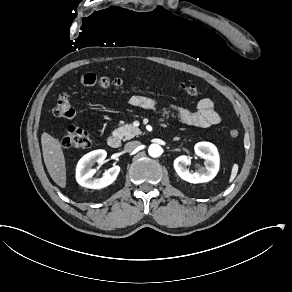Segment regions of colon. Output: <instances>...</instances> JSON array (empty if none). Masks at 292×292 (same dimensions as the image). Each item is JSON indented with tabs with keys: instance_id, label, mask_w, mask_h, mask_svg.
Instances as JSON below:
<instances>
[{
	"instance_id": "colon-1",
	"label": "colon",
	"mask_w": 292,
	"mask_h": 292,
	"mask_svg": "<svg viewBox=\"0 0 292 292\" xmlns=\"http://www.w3.org/2000/svg\"><path fill=\"white\" fill-rule=\"evenodd\" d=\"M81 84L85 87L122 88L125 84V80L122 77H98L95 74L89 73L81 78ZM181 88L186 94L191 96H199L202 93L199 86L187 80L181 82ZM53 114L59 119H72L74 117V106L66 94H60L58 96ZM229 134L232 138H237L239 136V131L233 128L229 131ZM61 143L66 149H83L90 147L93 143V139L87 131L72 126L65 130Z\"/></svg>"
}]
</instances>
